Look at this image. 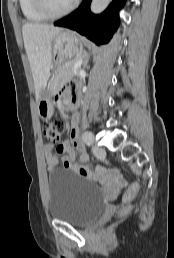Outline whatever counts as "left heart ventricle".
Instances as JSON below:
<instances>
[{"label": "left heart ventricle", "mask_w": 174, "mask_h": 258, "mask_svg": "<svg viewBox=\"0 0 174 258\" xmlns=\"http://www.w3.org/2000/svg\"><path fill=\"white\" fill-rule=\"evenodd\" d=\"M50 6L55 10V11H60L64 8H66L68 5L71 4L72 1L74 0H48Z\"/></svg>", "instance_id": "1"}]
</instances>
